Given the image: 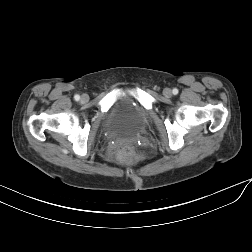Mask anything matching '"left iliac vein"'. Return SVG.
<instances>
[{"instance_id":"obj_1","label":"left iliac vein","mask_w":252,"mask_h":252,"mask_svg":"<svg viewBox=\"0 0 252 252\" xmlns=\"http://www.w3.org/2000/svg\"><path fill=\"white\" fill-rule=\"evenodd\" d=\"M163 94L165 97H171L172 96V90L170 88H165L163 90Z\"/></svg>"}]
</instances>
